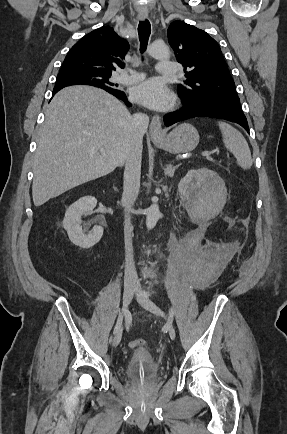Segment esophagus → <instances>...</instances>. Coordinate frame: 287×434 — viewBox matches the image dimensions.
Here are the masks:
<instances>
[{"mask_svg": "<svg viewBox=\"0 0 287 434\" xmlns=\"http://www.w3.org/2000/svg\"><path fill=\"white\" fill-rule=\"evenodd\" d=\"M140 20H145L148 17L147 12H140L138 15ZM149 134L153 140H159L162 138V125H161V117L158 114H155L152 117L150 126H149Z\"/></svg>", "mask_w": 287, "mask_h": 434, "instance_id": "esophagus-1", "label": "esophagus"}]
</instances>
